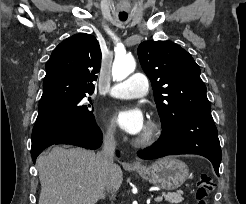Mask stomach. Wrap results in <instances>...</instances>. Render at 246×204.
<instances>
[{
	"instance_id": "0dacf381",
	"label": "stomach",
	"mask_w": 246,
	"mask_h": 204,
	"mask_svg": "<svg viewBox=\"0 0 246 204\" xmlns=\"http://www.w3.org/2000/svg\"><path fill=\"white\" fill-rule=\"evenodd\" d=\"M136 171L143 179L166 190L177 189L189 175L187 165L174 157L159 159L149 166L136 168Z\"/></svg>"
}]
</instances>
